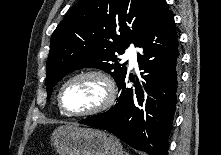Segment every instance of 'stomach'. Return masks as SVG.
<instances>
[{"instance_id":"0dacf381","label":"stomach","mask_w":221,"mask_h":155,"mask_svg":"<svg viewBox=\"0 0 221 155\" xmlns=\"http://www.w3.org/2000/svg\"><path fill=\"white\" fill-rule=\"evenodd\" d=\"M51 142L59 155H122V145L117 138L93 128L59 126Z\"/></svg>"}]
</instances>
